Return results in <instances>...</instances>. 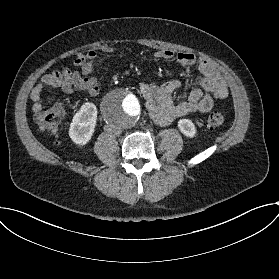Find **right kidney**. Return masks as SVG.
<instances>
[{
	"instance_id": "obj_1",
	"label": "right kidney",
	"mask_w": 279,
	"mask_h": 279,
	"mask_svg": "<svg viewBox=\"0 0 279 279\" xmlns=\"http://www.w3.org/2000/svg\"><path fill=\"white\" fill-rule=\"evenodd\" d=\"M97 120V108L91 102L84 103L74 115L69 136L76 144L85 145L91 139Z\"/></svg>"
}]
</instances>
